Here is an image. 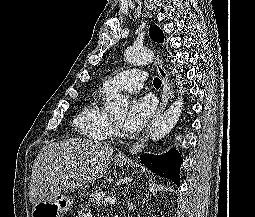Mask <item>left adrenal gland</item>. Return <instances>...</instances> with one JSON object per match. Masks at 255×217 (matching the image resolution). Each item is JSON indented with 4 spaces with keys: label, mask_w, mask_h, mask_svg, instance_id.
<instances>
[{
    "label": "left adrenal gland",
    "mask_w": 255,
    "mask_h": 217,
    "mask_svg": "<svg viewBox=\"0 0 255 217\" xmlns=\"http://www.w3.org/2000/svg\"><path fill=\"white\" fill-rule=\"evenodd\" d=\"M127 204H128V206H129V209H130V210H133V204H132V202H130V200H129V194H128V197H127Z\"/></svg>",
    "instance_id": "1"
}]
</instances>
